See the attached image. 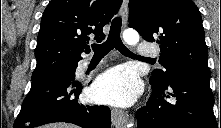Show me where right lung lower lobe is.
<instances>
[{
	"instance_id": "obj_1",
	"label": "right lung lower lobe",
	"mask_w": 221,
	"mask_h": 128,
	"mask_svg": "<svg viewBox=\"0 0 221 128\" xmlns=\"http://www.w3.org/2000/svg\"><path fill=\"white\" fill-rule=\"evenodd\" d=\"M74 78L75 72H56L33 80L14 128H33L52 122H68L82 128H110V109L79 103L82 87Z\"/></svg>"
}]
</instances>
